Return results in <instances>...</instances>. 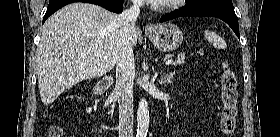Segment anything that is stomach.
I'll return each instance as SVG.
<instances>
[{
    "label": "stomach",
    "instance_id": "obj_1",
    "mask_svg": "<svg viewBox=\"0 0 280 137\" xmlns=\"http://www.w3.org/2000/svg\"><path fill=\"white\" fill-rule=\"evenodd\" d=\"M150 41L161 51L169 52L177 49L183 42V33L173 23L154 25L146 31Z\"/></svg>",
    "mask_w": 280,
    "mask_h": 137
}]
</instances>
